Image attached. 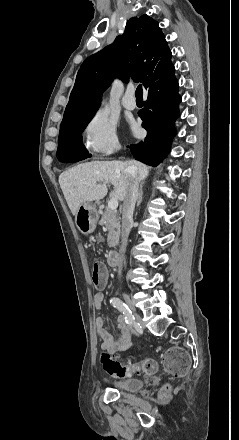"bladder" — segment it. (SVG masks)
<instances>
[{
    "mask_svg": "<svg viewBox=\"0 0 239 440\" xmlns=\"http://www.w3.org/2000/svg\"><path fill=\"white\" fill-rule=\"evenodd\" d=\"M106 382L113 388L126 392H137L144 386V382L138 378H124L118 380L106 379Z\"/></svg>",
    "mask_w": 239,
    "mask_h": 440,
    "instance_id": "31cf9c89",
    "label": "bladder"
}]
</instances>
